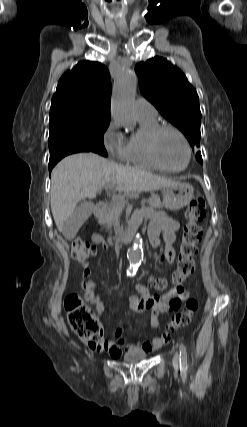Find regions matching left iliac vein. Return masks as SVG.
I'll list each match as a JSON object with an SVG mask.
<instances>
[{
	"label": "left iliac vein",
	"mask_w": 247,
	"mask_h": 427,
	"mask_svg": "<svg viewBox=\"0 0 247 427\" xmlns=\"http://www.w3.org/2000/svg\"><path fill=\"white\" fill-rule=\"evenodd\" d=\"M178 364H179V356H178V353H175V355H174V357H173V366H174L175 368H177V367H178Z\"/></svg>",
	"instance_id": "left-iliac-vein-1"
}]
</instances>
